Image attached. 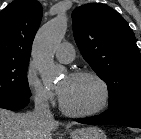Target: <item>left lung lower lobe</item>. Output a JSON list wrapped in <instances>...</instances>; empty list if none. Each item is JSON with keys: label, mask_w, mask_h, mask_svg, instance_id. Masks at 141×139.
Returning <instances> with one entry per match:
<instances>
[{"label": "left lung lower lobe", "mask_w": 141, "mask_h": 139, "mask_svg": "<svg viewBox=\"0 0 141 139\" xmlns=\"http://www.w3.org/2000/svg\"><path fill=\"white\" fill-rule=\"evenodd\" d=\"M77 122L91 125H122L141 129V98L132 99L111 108L101 115L76 119Z\"/></svg>", "instance_id": "1"}]
</instances>
